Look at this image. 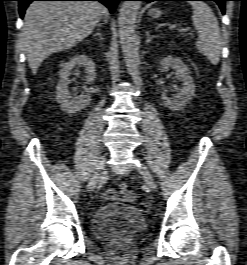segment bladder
Returning a JSON list of instances; mask_svg holds the SVG:
<instances>
[{"mask_svg":"<svg viewBox=\"0 0 247 265\" xmlns=\"http://www.w3.org/2000/svg\"><path fill=\"white\" fill-rule=\"evenodd\" d=\"M145 227L143 213L135 206L112 203L99 207L91 222L93 235L101 240L133 238Z\"/></svg>","mask_w":247,"mask_h":265,"instance_id":"bladder-1","label":"bladder"}]
</instances>
